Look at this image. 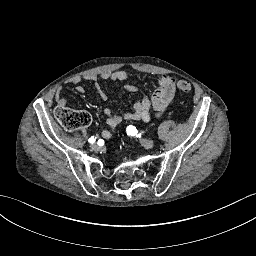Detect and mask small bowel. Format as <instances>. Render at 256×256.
<instances>
[{
    "label": "small bowel",
    "mask_w": 256,
    "mask_h": 256,
    "mask_svg": "<svg viewBox=\"0 0 256 256\" xmlns=\"http://www.w3.org/2000/svg\"><path fill=\"white\" fill-rule=\"evenodd\" d=\"M127 78L128 73L126 71L117 70L112 72H103L100 76H97L96 74H88L83 78L74 77L69 81V83L75 86L76 91L83 93L85 92V88L80 84L82 79L93 82L99 97L106 100L108 97L107 92L99 84L98 80L125 81ZM176 86L175 78L164 74L160 76L158 80V88L153 95L150 98L144 97L140 101H137L132 110L120 113L106 108L103 113L106 117L107 128L100 132L101 137L104 139L111 138L116 127L123 120H142L144 122H149L153 117L152 110L154 111L155 117H161L167 108L174 102ZM124 88L128 92H136L138 90V88L133 84H126ZM55 102L58 107H65L67 104L66 98L61 95V89L56 91Z\"/></svg>",
    "instance_id": "obj_1"
}]
</instances>
